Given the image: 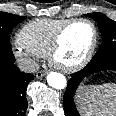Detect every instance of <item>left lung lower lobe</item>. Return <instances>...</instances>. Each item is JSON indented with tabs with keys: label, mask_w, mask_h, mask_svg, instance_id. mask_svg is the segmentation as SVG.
I'll return each mask as SVG.
<instances>
[{
	"label": "left lung lower lobe",
	"mask_w": 116,
	"mask_h": 116,
	"mask_svg": "<svg viewBox=\"0 0 116 116\" xmlns=\"http://www.w3.org/2000/svg\"><path fill=\"white\" fill-rule=\"evenodd\" d=\"M104 71L116 72V54L101 57L94 56L85 68L71 74V78L68 80L67 88L63 96L64 112L66 116H80L74 103V96L83 79Z\"/></svg>",
	"instance_id": "0a47b994"
}]
</instances>
